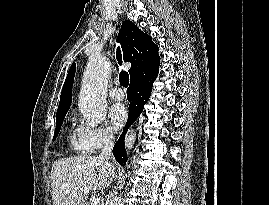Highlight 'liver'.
Returning <instances> with one entry per match:
<instances>
[{
    "instance_id": "obj_1",
    "label": "liver",
    "mask_w": 269,
    "mask_h": 205,
    "mask_svg": "<svg viewBox=\"0 0 269 205\" xmlns=\"http://www.w3.org/2000/svg\"><path fill=\"white\" fill-rule=\"evenodd\" d=\"M116 167L98 156L79 155L56 160L51 169L53 205H74L91 190L107 188Z\"/></svg>"
}]
</instances>
